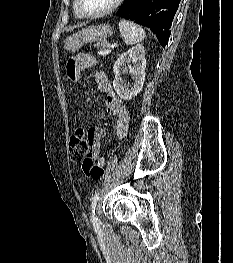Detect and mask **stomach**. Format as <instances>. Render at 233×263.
I'll return each instance as SVG.
<instances>
[{
    "label": "stomach",
    "mask_w": 233,
    "mask_h": 263,
    "mask_svg": "<svg viewBox=\"0 0 233 263\" xmlns=\"http://www.w3.org/2000/svg\"><path fill=\"white\" fill-rule=\"evenodd\" d=\"M112 33L113 30L108 24L88 26L78 33L68 36L64 41V48L67 51L75 52L78 51L85 43L106 40L112 35Z\"/></svg>",
    "instance_id": "0dacf381"
}]
</instances>
